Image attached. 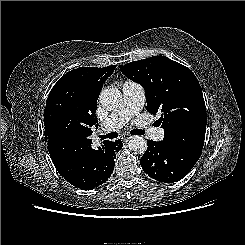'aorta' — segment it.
Wrapping results in <instances>:
<instances>
[{
    "instance_id": "obj_1",
    "label": "aorta",
    "mask_w": 245,
    "mask_h": 245,
    "mask_svg": "<svg viewBox=\"0 0 245 245\" xmlns=\"http://www.w3.org/2000/svg\"><path fill=\"white\" fill-rule=\"evenodd\" d=\"M100 103L109 109L117 108L122 101V94L117 88H104L99 96ZM129 149L138 154H143L147 150V141L141 136H135L129 141Z\"/></svg>"
}]
</instances>
